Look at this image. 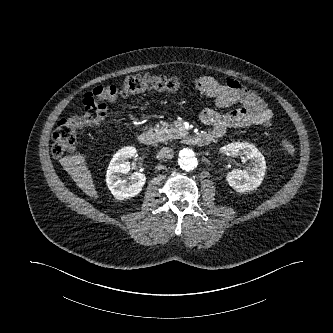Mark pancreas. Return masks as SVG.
Segmentation results:
<instances>
[{
	"label": "pancreas",
	"mask_w": 333,
	"mask_h": 333,
	"mask_svg": "<svg viewBox=\"0 0 333 333\" xmlns=\"http://www.w3.org/2000/svg\"><path fill=\"white\" fill-rule=\"evenodd\" d=\"M154 130L159 141L179 139L181 136L180 129L175 128L172 124L167 122H161V124H157Z\"/></svg>",
	"instance_id": "cf45deb5"
}]
</instances>
